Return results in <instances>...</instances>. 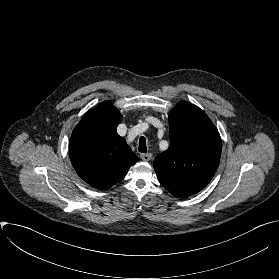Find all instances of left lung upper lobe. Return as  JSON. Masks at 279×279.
Returning <instances> with one entry per match:
<instances>
[{"label": "left lung upper lobe", "mask_w": 279, "mask_h": 279, "mask_svg": "<svg viewBox=\"0 0 279 279\" xmlns=\"http://www.w3.org/2000/svg\"><path fill=\"white\" fill-rule=\"evenodd\" d=\"M170 147L153 166L158 180L173 196L198 193L214 176L221 156L217 128L199 107L182 103L169 114Z\"/></svg>", "instance_id": "1"}]
</instances>
